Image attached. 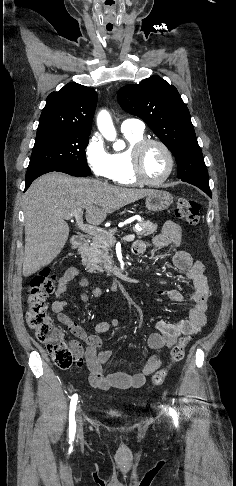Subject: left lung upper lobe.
<instances>
[{"label": "left lung upper lobe", "mask_w": 236, "mask_h": 486, "mask_svg": "<svg viewBox=\"0 0 236 486\" xmlns=\"http://www.w3.org/2000/svg\"><path fill=\"white\" fill-rule=\"evenodd\" d=\"M117 98L123 110L140 117L171 150L178 178L211 196L208 172L190 113L177 89L159 76H151L140 84L122 87Z\"/></svg>", "instance_id": "5c2ea615"}]
</instances>
